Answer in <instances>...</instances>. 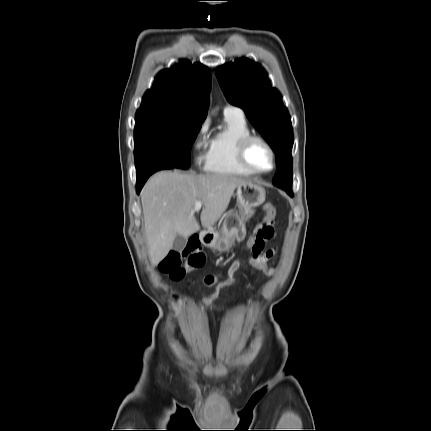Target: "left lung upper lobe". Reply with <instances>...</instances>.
<instances>
[{
  "instance_id": "5c2ea615",
  "label": "left lung upper lobe",
  "mask_w": 431,
  "mask_h": 431,
  "mask_svg": "<svg viewBox=\"0 0 431 431\" xmlns=\"http://www.w3.org/2000/svg\"><path fill=\"white\" fill-rule=\"evenodd\" d=\"M216 75L227 100L244 110L275 152L278 170L273 184L292 192L293 129L281 94L271 86L266 71L248 58L218 67Z\"/></svg>"
}]
</instances>
